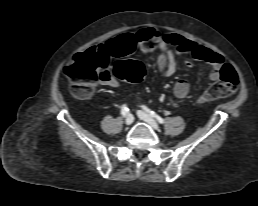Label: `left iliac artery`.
<instances>
[{
    "label": "left iliac artery",
    "mask_w": 258,
    "mask_h": 206,
    "mask_svg": "<svg viewBox=\"0 0 258 206\" xmlns=\"http://www.w3.org/2000/svg\"><path fill=\"white\" fill-rule=\"evenodd\" d=\"M142 108L147 111L150 116H152L153 118L157 119V121L160 123V124H163L164 123V119L161 118L160 116H158L154 111H151L150 109H148L146 106H142Z\"/></svg>",
    "instance_id": "left-iliac-artery-1"
}]
</instances>
